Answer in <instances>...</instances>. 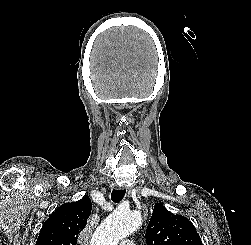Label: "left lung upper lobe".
<instances>
[{"mask_svg":"<svg viewBox=\"0 0 251 245\" xmlns=\"http://www.w3.org/2000/svg\"><path fill=\"white\" fill-rule=\"evenodd\" d=\"M147 245H202L194 225L156 203L146 230Z\"/></svg>","mask_w":251,"mask_h":245,"instance_id":"obj_1","label":"left lung upper lobe"}]
</instances>
